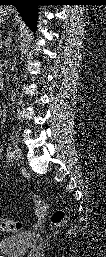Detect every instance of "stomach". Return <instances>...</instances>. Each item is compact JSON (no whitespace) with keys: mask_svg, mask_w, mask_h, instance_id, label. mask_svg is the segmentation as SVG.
<instances>
[{"mask_svg":"<svg viewBox=\"0 0 106 257\" xmlns=\"http://www.w3.org/2000/svg\"><path fill=\"white\" fill-rule=\"evenodd\" d=\"M9 16H10L9 10L6 9V8H2V9H1L0 20H1L2 22H4V21H6V20L9 19Z\"/></svg>","mask_w":106,"mask_h":257,"instance_id":"0dacf381","label":"stomach"}]
</instances>
